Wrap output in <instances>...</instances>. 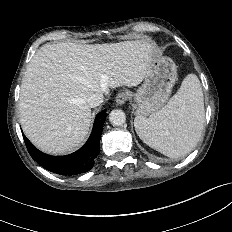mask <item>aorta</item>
Wrapping results in <instances>:
<instances>
[{
    "mask_svg": "<svg viewBox=\"0 0 232 232\" xmlns=\"http://www.w3.org/2000/svg\"><path fill=\"white\" fill-rule=\"evenodd\" d=\"M109 121L114 126H121L126 121V115L122 110L114 109L109 114Z\"/></svg>",
    "mask_w": 232,
    "mask_h": 232,
    "instance_id": "1",
    "label": "aorta"
}]
</instances>
